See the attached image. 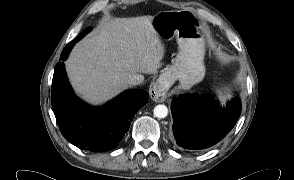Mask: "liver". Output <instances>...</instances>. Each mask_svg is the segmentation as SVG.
Masks as SVG:
<instances>
[{
  "instance_id": "obj_1",
  "label": "liver",
  "mask_w": 294,
  "mask_h": 180,
  "mask_svg": "<svg viewBox=\"0 0 294 180\" xmlns=\"http://www.w3.org/2000/svg\"><path fill=\"white\" fill-rule=\"evenodd\" d=\"M154 16L113 18L83 38L65 62L75 91L99 105L128 88L135 73H152L164 57V45L152 26Z\"/></svg>"
}]
</instances>
